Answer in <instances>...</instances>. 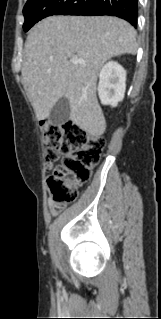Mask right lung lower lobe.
Returning a JSON list of instances; mask_svg holds the SVG:
<instances>
[{
  "mask_svg": "<svg viewBox=\"0 0 161 319\" xmlns=\"http://www.w3.org/2000/svg\"><path fill=\"white\" fill-rule=\"evenodd\" d=\"M138 0H86V2L70 15H110L125 19L134 27L137 24Z\"/></svg>",
  "mask_w": 161,
  "mask_h": 319,
  "instance_id": "right-lung-lower-lobe-1",
  "label": "right lung lower lobe"
}]
</instances>
